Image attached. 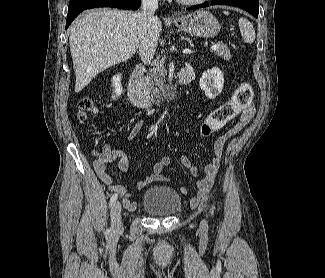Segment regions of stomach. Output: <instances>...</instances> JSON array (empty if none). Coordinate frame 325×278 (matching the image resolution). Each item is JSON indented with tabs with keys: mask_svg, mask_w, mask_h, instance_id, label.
I'll list each match as a JSON object with an SVG mask.
<instances>
[{
	"mask_svg": "<svg viewBox=\"0 0 325 278\" xmlns=\"http://www.w3.org/2000/svg\"><path fill=\"white\" fill-rule=\"evenodd\" d=\"M180 30L194 36L210 38L217 35L220 24L215 16L206 10H198L174 21Z\"/></svg>",
	"mask_w": 325,
	"mask_h": 278,
	"instance_id": "0dacf381",
	"label": "stomach"
}]
</instances>
